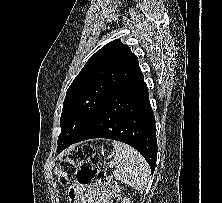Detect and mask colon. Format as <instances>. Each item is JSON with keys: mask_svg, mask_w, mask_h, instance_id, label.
<instances>
[{"mask_svg": "<svg viewBox=\"0 0 222 203\" xmlns=\"http://www.w3.org/2000/svg\"><path fill=\"white\" fill-rule=\"evenodd\" d=\"M56 173L62 184H69L76 177L81 184L98 183L111 188L116 199L119 198L117 185L100 168L99 157L92 145L84 144L70 151L58 165Z\"/></svg>", "mask_w": 222, "mask_h": 203, "instance_id": "1", "label": "colon"}]
</instances>
